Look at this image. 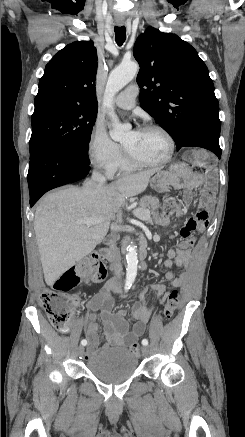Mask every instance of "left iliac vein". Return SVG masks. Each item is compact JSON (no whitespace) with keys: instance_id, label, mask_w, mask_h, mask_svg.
Masks as SVG:
<instances>
[{"instance_id":"4c4485c4","label":"left iliac vein","mask_w":245,"mask_h":437,"mask_svg":"<svg viewBox=\"0 0 245 437\" xmlns=\"http://www.w3.org/2000/svg\"><path fill=\"white\" fill-rule=\"evenodd\" d=\"M142 354H143L144 356H146V355L149 354V349H148L147 346H143V347H142Z\"/></svg>"}]
</instances>
